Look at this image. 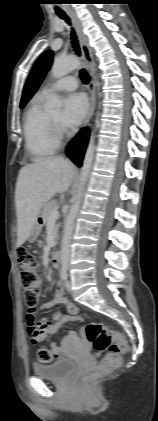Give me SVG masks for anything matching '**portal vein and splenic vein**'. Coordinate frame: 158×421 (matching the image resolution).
<instances>
[{
  "instance_id": "1",
  "label": "portal vein and splenic vein",
  "mask_w": 158,
  "mask_h": 421,
  "mask_svg": "<svg viewBox=\"0 0 158 421\" xmlns=\"http://www.w3.org/2000/svg\"><path fill=\"white\" fill-rule=\"evenodd\" d=\"M58 217H59L58 210L57 209L52 210L51 213H50V219L56 220V219H58Z\"/></svg>"
}]
</instances>
